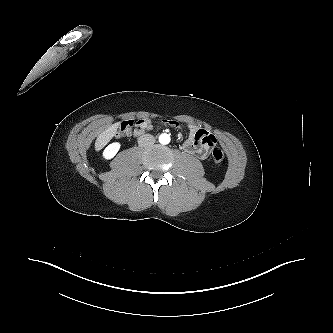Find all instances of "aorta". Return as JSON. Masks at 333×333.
I'll list each match as a JSON object with an SVG mask.
<instances>
[{
    "label": "aorta",
    "instance_id": "1",
    "mask_svg": "<svg viewBox=\"0 0 333 333\" xmlns=\"http://www.w3.org/2000/svg\"><path fill=\"white\" fill-rule=\"evenodd\" d=\"M170 135L163 133L159 136V142L163 145L169 144L170 143Z\"/></svg>",
    "mask_w": 333,
    "mask_h": 333
}]
</instances>
